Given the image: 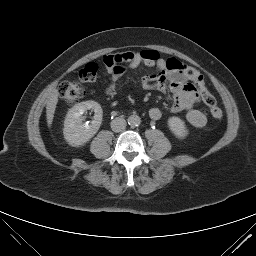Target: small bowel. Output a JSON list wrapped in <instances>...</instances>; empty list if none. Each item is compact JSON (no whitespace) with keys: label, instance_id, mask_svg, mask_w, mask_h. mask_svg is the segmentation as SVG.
<instances>
[{"label":"small bowel","instance_id":"c3829d8e","mask_svg":"<svg viewBox=\"0 0 256 256\" xmlns=\"http://www.w3.org/2000/svg\"><path fill=\"white\" fill-rule=\"evenodd\" d=\"M145 52L130 51L117 54L121 59L119 66L114 70L106 69L110 76V82L105 90L106 94L108 96L116 94V83L128 69H135L140 65L154 68L153 73L142 78V87L159 92L170 91L173 95L172 113L185 112L187 121L194 127L206 125V115L196 108L200 101L198 91L183 72L186 65L174 58L150 59L145 56ZM148 114L152 120H158L162 116L161 110L156 107L151 108Z\"/></svg>","mask_w":256,"mask_h":256}]
</instances>
